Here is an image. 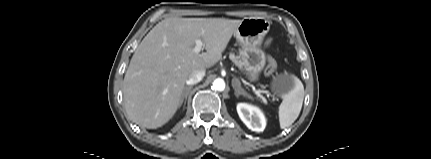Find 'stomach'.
<instances>
[{"label":"stomach","instance_id":"stomach-1","mask_svg":"<svg viewBox=\"0 0 431 159\" xmlns=\"http://www.w3.org/2000/svg\"><path fill=\"white\" fill-rule=\"evenodd\" d=\"M270 29V22L262 17H247L241 20L234 32V37L241 46L239 56L247 70L250 81H257L266 64V55L261 49L265 35ZM295 88L293 75L280 74L273 77L272 92L279 96H287Z\"/></svg>","mask_w":431,"mask_h":159}]
</instances>
